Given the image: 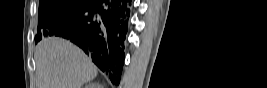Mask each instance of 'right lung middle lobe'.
Masks as SVG:
<instances>
[{"mask_svg": "<svg viewBox=\"0 0 267 88\" xmlns=\"http://www.w3.org/2000/svg\"><path fill=\"white\" fill-rule=\"evenodd\" d=\"M86 0H40L39 18H38V35L35 41L38 42L46 35L47 27L54 21L67 17L75 11Z\"/></svg>", "mask_w": 267, "mask_h": 88, "instance_id": "1", "label": "right lung middle lobe"}]
</instances>
